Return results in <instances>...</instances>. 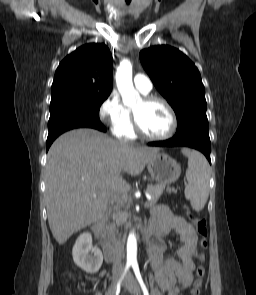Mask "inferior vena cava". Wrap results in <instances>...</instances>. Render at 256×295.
Masks as SVG:
<instances>
[{"label": "inferior vena cava", "instance_id": "1", "mask_svg": "<svg viewBox=\"0 0 256 295\" xmlns=\"http://www.w3.org/2000/svg\"><path fill=\"white\" fill-rule=\"evenodd\" d=\"M113 255H114V262H113V271H121L122 270V243L119 237H114L113 239Z\"/></svg>", "mask_w": 256, "mask_h": 295}]
</instances>
